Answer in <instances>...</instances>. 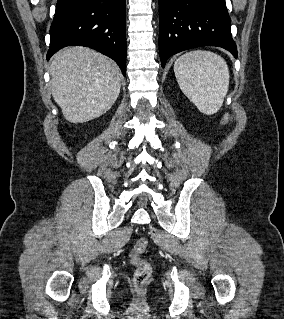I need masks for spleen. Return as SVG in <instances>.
<instances>
[{"mask_svg":"<svg viewBox=\"0 0 284 319\" xmlns=\"http://www.w3.org/2000/svg\"><path fill=\"white\" fill-rule=\"evenodd\" d=\"M174 73L182 92L200 112L216 113L229 87V69L225 60L210 51H190L174 64Z\"/></svg>","mask_w":284,"mask_h":319,"instance_id":"3e777b00","label":"spleen"}]
</instances>
